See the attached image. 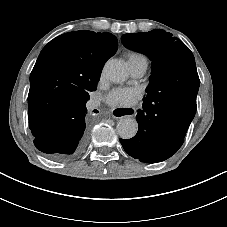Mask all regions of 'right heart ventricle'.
I'll return each instance as SVG.
<instances>
[{"label": "right heart ventricle", "mask_w": 227, "mask_h": 227, "mask_svg": "<svg viewBox=\"0 0 227 227\" xmlns=\"http://www.w3.org/2000/svg\"><path fill=\"white\" fill-rule=\"evenodd\" d=\"M126 57L129 65H143L147 67L148 60L147 57L140 52L137 51H128L126 52Z\"/></svg>", "instance_id": "obj_1"}]
</instances>
